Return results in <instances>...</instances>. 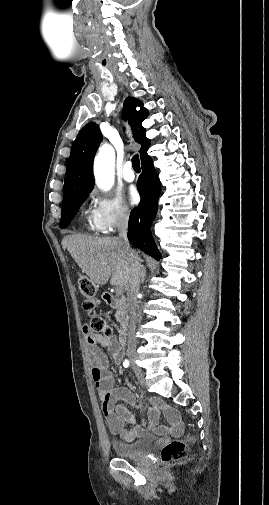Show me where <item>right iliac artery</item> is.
I'll use <instances>...</instances> for the list:
<instances>
[{"label":"right iliac artery","instance_id":"1","mask_svg":"<svg viewBox=\"0 0 269 505\" xmlns=\"http://www.w3.org/2000/svg\"><path fill=\"white\" fill-rule=\"evenodd\" d=\"M129 365H130V361H129V360H127V359H125V361L123 362V366H124L125 368H127V367H129Z\"/></svg>","mask_w":269,"mask_h":505}]
</instances>
